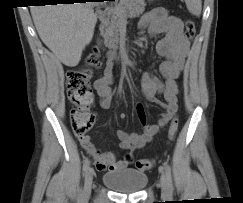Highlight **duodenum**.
Listing matches in <instances>:
<instances>
[{
    "mask_svg": "<svg viewBox=\"0 0 243 203\" xmlns=\"http://www.w3.org/2000/svg\"><path fill=\"white\" fill-rule=\"evenodd\" d=\"M107 16H108V11H105L101 14L100 16V21L101 22H105L107 20ZM100 43H101V39H99ZM109 59H113L114 58V54L113 53H109L108 55Z\"/></svg>",
    "mask_w": 243,
    "mask_h": 203,
    "instance_id": "1",
    "label": "duodenum"
}]
</instances>
